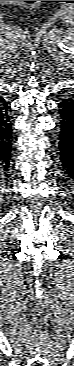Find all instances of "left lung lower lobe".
I'll return each mask as SVG.
<instances>
[{
	"label": "left lung lower lobe",
	"mask_w": 74,
	"mask_h": 366,
	"mask_svg": "<svg viewBox=\"0 0 74 366\" xmlns=\"http://www.w3.org/2000/svg\"><path fill=\"white\" fill-rule=\"evenodd\" d=\"M58 112L61 121L58 125L56 148L64 172L74 177V95L59 102Z\"/></svg>",
	"instance_id": "obj_1"
}]
</instances>
